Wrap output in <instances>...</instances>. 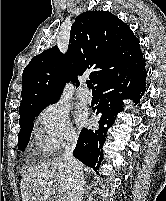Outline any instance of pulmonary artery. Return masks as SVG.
<instances>
[{
  "mask_svg": "<svg viewBox=\"0 0 166 201\" xmlns=\"http://www.w3.org/2000/svg\"><path fill=\"white\" fill-rule=\"evenodd\" d=\"M78 97L82 102L85 103H90L92 101V93L85 85H83L79 90Z\"/></svg>",
  "mask_w": 166,
  "mask_h": 201,
  "instance_id": "1",
  "label": "pulmonary artery"
}]
</instances>
